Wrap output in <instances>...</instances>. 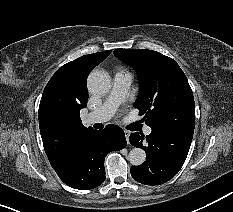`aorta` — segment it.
Segmentation results:
<instances>
[{"label": "aorta", "instance_id": "aorta-1", "mask_svg": "<svg viewBox=\"0 0 233 212\" xmlns=\"http://www.w3.org/2000/svg\"><path fill=\"white\" fill-rule=\"evenodd\" d=\"M87 87L93 94H106L111 88L110 77L104 71H93L88 76ZM145 159L146 153L141 148H133L128 154V160L134 166L143 164Z\"/></svg>", "mask_w": 233, "mask_h": 212}]
</instances>
